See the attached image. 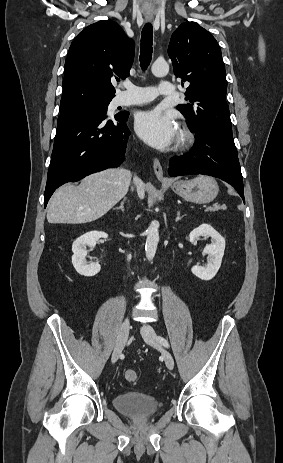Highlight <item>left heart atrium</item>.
<instances>
[{
  "label": "left heart atrium",
  "instance_id": "obj_1",
  "mask_svg": "<svg viewBox=\"0 0 283 463\" xmlns=\"http://www.w3.org/2000/svg\"><path fill=\"white\" fill-rule=\"evenodd\" d=\"M135 130L147 144L159 149L171 146L178 136L175 121L158 109L140 112L136 116Z\"/></svg>",
  "mask_w": 283,
  "mask_h": 463
}]
</instances>
